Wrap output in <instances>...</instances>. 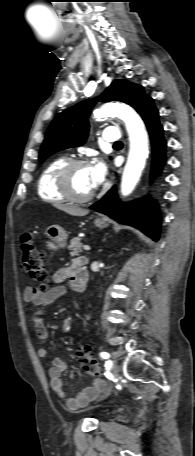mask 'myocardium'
I'll use <instances>...</instances> for the list:
<instances>
[{"instance_id": "f54148a6", "label": "myocardium", "mask_w": 195, "mask_h": 456, "mask_svg": "<svg viewBox=\"0 0 195 456\" xmlns=\"http://www.w3.org/2000/svg\"><path fill=\"white\" fill-rule=\"evenodd\" d=\"M87 166L89 163L83 159L67 160L56 173V186L63 197L71 202L84 203L91 200L95 192L92 191L87 195L76 194L71 187V173L77 167Z\"/></svg>"}]
</instances>
